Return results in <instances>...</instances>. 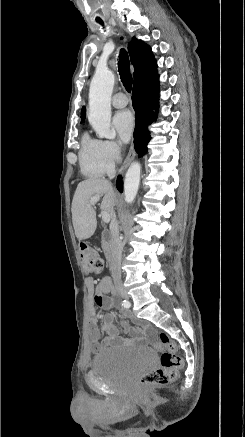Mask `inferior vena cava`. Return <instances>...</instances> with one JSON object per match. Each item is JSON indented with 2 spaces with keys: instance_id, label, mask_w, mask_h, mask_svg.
I'll list each match as a JSON object with an SVG mask.
<instances>
[{
  "instance_id": "obj_1",
  "label": "inferior vena cava",
  "mask_w": 245,
  "mask_h": 437,
  "mask_svg": "<svg viewBox=\"0 0 245 437\" xmlns=\"http://www.w3.org/2000/svg\"><path fill=\"white\" fill-rule=\"evenodd\" d=\"M112 237L110 240V271L115 285L121 284V258L123 245L120 238L119 226L116 220V215L112 218Z\"/></svg>"
}]
</instances>
